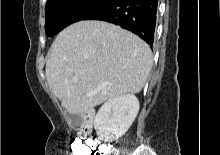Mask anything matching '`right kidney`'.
<instances>
[{
    "mask_svg": "<svg viewBox=\"0 0 220 155\" xmlns=\"http://www.w3.org/2000/svg\"><path fill=\"white\" fill-rule=\"evenodd\" d=\"M139 111V101L133 94L121 95L104 103L94 120L100 138L111 142L123 136Z\"/></svg>",
    "mask_w": 220,
    "mask_h": 155,
    "instance_id": "1",
    "label": "right kidney"
}]
</instances>
